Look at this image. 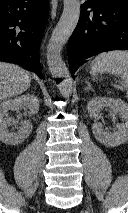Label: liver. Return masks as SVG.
Wrapping results in <instances>:
<instances>
[{"mask_svg":"<svg viewBox=\"0 0 128 213\" xmlns=\"http://www.w3.org/2000/svg\"><path fill=\"white\" fill-rule=\"evenodd\" d=\"M30 82L27 71L15 64L0 62V101L23 93Z\"/></svg>","mask_w":128,"mask_h":213,"instance_id":"1","label":"liver"}]
</instances>
